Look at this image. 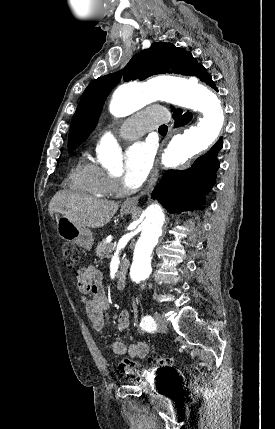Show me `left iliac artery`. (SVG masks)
Masks as SVG:
<instances>
[{
    "label": "left iliac artery",
    "mask_w": 275,
    "mask_h": 429,
    "mask_svg": "<svg viewBox=\"0 0 275 429\" xmlns=\"http://www.w3.org/2000/svg\"><path fill=\"white\" fill-rule=\"evenodd\" d=\"M140 327L142 330L151 331L152 329L155 328V322L150 315H147L142 318Z\"/></svg>",
    "instance_id": "obj_1"
}]
</instances>
